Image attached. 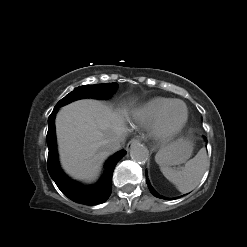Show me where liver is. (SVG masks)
Listing matches in <instances>:
<instances>
[{"instance_id":"liver-1","label":"liver","mask_w":247,"mask_h":247,"mask_svg":"<svg viewBox=\"0 0 247 247\" xmlns=\"http://www.w3.org/2000/svg\"><path fill=\"white\" fill-rule=\"evenodd\" d=\"M55 124L62 167L71 177L84 182L98 176L103 161L110 155L107 143L127 132L121 113L93 99L62 107Z\"/></svg>"}]
</instances>
